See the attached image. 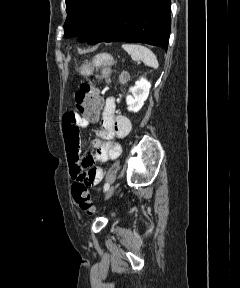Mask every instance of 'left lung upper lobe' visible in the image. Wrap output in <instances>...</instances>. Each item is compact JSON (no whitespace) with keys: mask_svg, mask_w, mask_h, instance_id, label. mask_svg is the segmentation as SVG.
<instances>
[{"mask_svg":"<svg viewBox=\"0 0 240 288\" xmlns=\"http://www.w3.org/2000/svg\"><path fill=\"white\" fill-rule=\"evenodd\" d=\"M109 0H66L67 18L64 24V36L75 35L79 25H84L80 35L82 42L87 41L101 22Z\"/></svg>","mask_w":240,"mask_h":288,"instance_id":"obj_1","label":"left lung upper lobe"}]
</instances>
